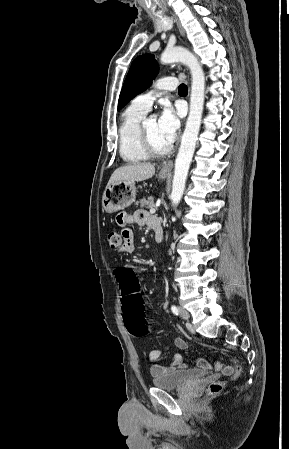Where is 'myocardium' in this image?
I'll use <instances>...</instances> for the list:
<instances>
[{
    "instance_id": "1",
    "label": "myocardium",
    "mask_w": 289,
    "mask_h": 449,
    "mask_svg": "<svg viewBox=\"0 0 289 449\" xmlns=\"http://www.w3.org/2000/svg\"><path fill=\"white\" fill-rule=\"evenodd\" d=\"M147 122H148V118H145L142 121L141 126H140V140H141V145H142L144 152L146 153V155L148 157H153V158H162V157L168 156L173 151V145H170L167 149H165L163 151L156 150L154 148V146L151 142L150 136H149Z\"/></svg>"
}]
</instances>
